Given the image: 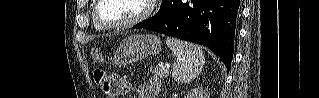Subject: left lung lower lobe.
I'll return each instance as SVG.
<instances>
[{
	"instance_id": "obj_1",
	"label": "left lung lower lobe",
	"mask_w": 319,
	"mask_h": 98,
	"mask_svg": "<svg viewBox=\"0 0 319 98\" xmlns=\"http://www.w3.org/2000/svg\"><path fill=\"white\" fill-rule=\"evenodd\" d=\"M239 8V0H165L158 20L135 28L204 45L220 56L229 71Z\"/></svg>"
}]
</instances>
